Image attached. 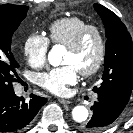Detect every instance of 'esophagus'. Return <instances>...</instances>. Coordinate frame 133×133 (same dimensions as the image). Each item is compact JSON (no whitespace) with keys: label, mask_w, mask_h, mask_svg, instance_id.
Masks as SVG:
<instances>
[{"label":"esophagus","mask_w":133,"mask_h":133,"mask_svg":"<svg viewBox=\"0 0 133 133\" xmlns=\"http://www.w3.org/2000/svg\"><path fill=\"white\" fill-rule=\"evenodd\" d=\"M58 101L61 103V104H70L71 102L69 100H66V99H62V98H58Z\"/></svg>","instance_id":"esophagus-1"}]
</instances>
